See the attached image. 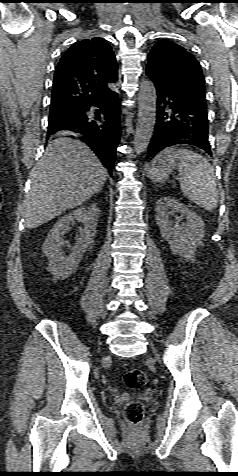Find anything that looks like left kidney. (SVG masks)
I'll list each match as a JSON object with an SVG mask.
<instances>
[{"label": "left kidney", "mask_w": 238, "mask_h": 476, "mask_svg": "<svg viewBox=\"0 0 238 476\" xmlns=\"http://www.w3.org/2000/svg\"><path fill=\"white\" fill-rule=\"evenodd\" d=\"M169 210L177 211L185 216L182 225H172L169 220ZM156 222L160 227L162 237L170 245L171 251L182 259L194 261L196 248L201 246L204 238V223L192 210L171 197H161L155 206Z\"/></svg>", "instance_id": "5707ae66"}]
</instances>
